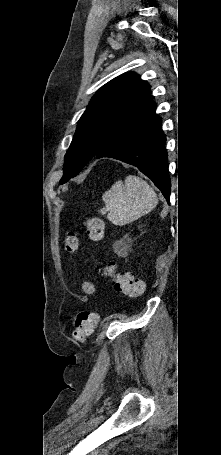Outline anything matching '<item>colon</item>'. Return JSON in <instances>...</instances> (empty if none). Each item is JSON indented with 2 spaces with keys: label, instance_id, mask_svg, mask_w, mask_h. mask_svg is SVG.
Listing matches in <instances>:
<instances>
[{
  "label": "colon",
  "instance_id": "colon-1",
  "mask_svg": "<svg viewBox=\"0 0 221 455\" xmlns=\"http://www.w3.org/2000/svg\"><path fill=\"white\" fill-rule=\"evenodd\" d=\"M84 225L86 232L91 240L101 241L104 236V222L100 217L90 216L85 218ZM66 254L72 258L79 249V241L73 231H69L63 241ZM101 274L113 281L114 289L124 295L136 298L141 296L145 291V282L128 273L117 272L115 265L109 263L105 265ZM98 322V316L92 311H81L75 320V329L73 339L83 342L95 329Z\"/></svg>",
  "mask_w": 221,
  "mask_h": 455
}]
</instances>
